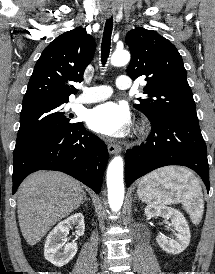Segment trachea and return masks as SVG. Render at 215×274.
Wrapping results in <instances>:
<instances>
[{"label":"trachea","mask_w":215,"mask_h":274,"mask_svg":"<svg viewBox=\"0 0 215 274\" xmlns=\"http://www.w3.org/2000/svg\"><path fill=\"white\" fill-rule=\"evenodd\" d=\"M112 28H113V18L111 17L107 19L104 27V32H103L102 45H101V61L103 65L106 64L107 58L110 52Z\"/></svg>","instance_id":"trachea-1"}]
</instances>
